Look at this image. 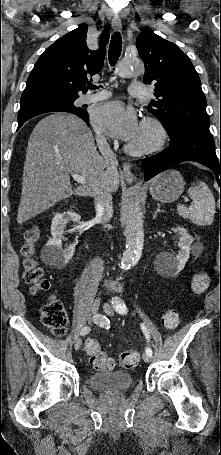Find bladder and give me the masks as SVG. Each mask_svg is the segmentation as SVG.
I'll return each instance as SVG.
<instances>
[{
  "mask_svg": "<svg viewBox=\"0 0 221 455\" xmlns=\"http://www.w3.org/2000/svg\"><path fill=\"white\" fill-rule=\"evenodd\" d=\"M88 385L91 389L102 392H120L132 388L131 374L121 371L96 372L89 375Z\"/></svg>",
  "mask_w": 221,
  "mask_h": 455,
  "instance_id": "bladder-1",
  "label": "bladder"
}]
</instances>
